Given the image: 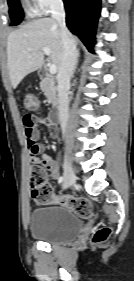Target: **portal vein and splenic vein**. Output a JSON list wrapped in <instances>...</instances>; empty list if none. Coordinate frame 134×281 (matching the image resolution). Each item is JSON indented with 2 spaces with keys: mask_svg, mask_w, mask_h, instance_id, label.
I'll return each instance as SVG.
<instances>
[{
  "mask_svg": "<svg viewBox=\"0 0 134 281\" xmlns=\"http://www.w3.org/2000/svg\"><path fill=\"white\" fill-rule=\"evenodd\" d=\"M42 51L44 52V54H46L48 56H50L52 53L51 49H49L48 47H43ZM49 71L51 74H55L57 72V65L51 64L49 67Z\"/></svg>",
  "mask_w": 134,
  "mask_h": 281,
  "instance_id": "18ae733b",
  "label": "portal vein and splenic vein"
}]
</instances>
